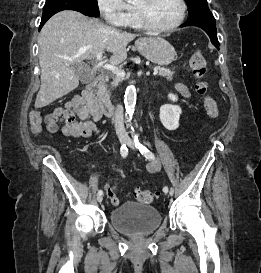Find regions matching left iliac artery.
<instances>
[{
    "label": "left iliac artery",
    "mask_w": 261,
    "mask_h": 273,
    "mask_svg": "<svg viewBox=\"0 0 261 273\" xmlns=\"http://www.w3.org/2000/svg\"><path fill=\"white\" fill-rule=\"evenodd\" d=\"M133 139H134V142H135V146L140 150L142 155H144L149 160H154L155 159L154 154L148 148H146L145 146H143L139 142L138 137L136 135H133ZM163 191H164V193H167L168 192V187L165 186L163 188Z\"/></svg>",
    "instance_id": "44dca946"
}]
</instances>
